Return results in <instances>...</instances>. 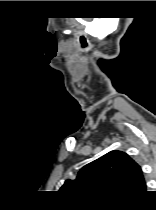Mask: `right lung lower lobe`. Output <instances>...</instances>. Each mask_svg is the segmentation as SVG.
I'll return each mask as SVG.
<instances>
[{
  "instance_id": "98d812e1",
  "label": "right lung lower lobe",
  "mask_w": 156,
  "mask_h": 210,
  "mask_svg": "<svg viewBox=\"0 0 156 210\" xmlns=\"http://www.w3.org/2000/svg\"><path fill=\"white\" fill-rule=\"evenodd\" d=\"M142 196H143V195H141V196H139V197H137V198H134L132 201H136V200L140 199Z\"/></svg>"
}]
</instances>
